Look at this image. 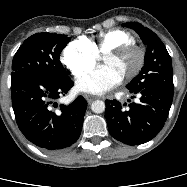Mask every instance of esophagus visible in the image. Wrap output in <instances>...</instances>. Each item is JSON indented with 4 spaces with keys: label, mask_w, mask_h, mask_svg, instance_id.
<instances>
[{
    "label": "esophagus",
    "mask_w": 187,
    "mask_h": 187,
    "mask_svg": "<svg viewBox=\"0 0 187 187\" xmlns=\"http://www.w3.org/2000/svg\"><path fill=\"white\" fill-rule=\"evenodd\" d=\"M84 98L87 100V102L90 104L91 102H93L97 97L92 96V95H88V94H84L83 95Z\"/></svg>",
    "instance_id": "esophagus-1"
}]
</instances>
